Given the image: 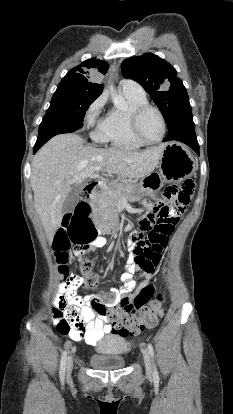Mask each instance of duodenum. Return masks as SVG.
Listing matches in <instances>:
<instances>
[{"instance_id": "1", "label": "duodenum", "mask_w": 233, "mask_h": 414, "mask_svg": "<svg viewBox=\"0 0 233 414\" xmlns=\"http://www.w3.org/2000/svg\"><path fill=\"white\" fill-rule=\"evenodd\" d=\"M107 183L105 182H94L90 183L89 185L84 187L85 195L82 198L83 204H88L89 207H94L96 204L97 199H100V190L99 187H107ZM92 220L97 221V228L102 233H109L120 230L122 228V222L118 219H110L106 220L103 219L104 214L99 209H92Z\"/></svg>"}]
</instances>
